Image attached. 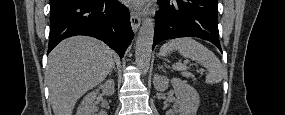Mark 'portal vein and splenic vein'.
Listing matches in <instances>:
<instances>
[{"instance_id":"obj_1","label":"portal vein and splenic vein","mask_w":285,"mask_h":115,"mask_svg":"<svg viewBox=\"0 0 285 115\" xmlns=\"http://www.w3.org/2000/svg\"><path fill=\"white\" fill-rule=\"evenodd\" d=\"M188 63H189V61H188V60H185V61H184V64H188Z\"/></svg>"}]
</instances>
